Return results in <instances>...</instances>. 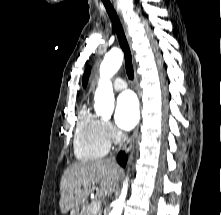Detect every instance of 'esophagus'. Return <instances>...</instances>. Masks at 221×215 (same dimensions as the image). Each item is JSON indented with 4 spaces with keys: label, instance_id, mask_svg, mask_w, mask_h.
Instances as JSON below:
<instances>
[{
    "label": "esophagus",
    "instance_id": "esophagus-1",
    "mask_svg": "<svg viewBox=\"0 0 221 215\" xmlns=\"http://www.w3.org/2000/svg\"><path fill=\"white\" fill-rule=\"evenodd\" d=\"M115 7H116V10L120 16V19L122 21V24H123V28H124V31H125V35L127 37V40L129 42V44L131 45V37H130V34H129V29H128V25L123 17V14H122V11H121V8L119 6V4L117 2H115ZM134 84H135V88L139 94V86H138V74L136 72V69L134 68ZM139 97H140V94H139ZM138 130H139V127H137L133 133V135L131 136V138L127 141V143L125 144L124 148H123V151L124 152H128L132 146L134 145L135 141H136V138H137V135H138Z\"/></svg>",
    "mask_w": 221,
    "mask_h": 215
}]
</instances>
